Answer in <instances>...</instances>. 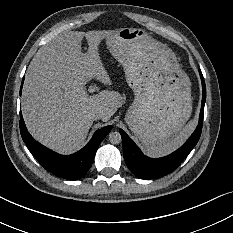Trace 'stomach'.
I'll return each mask as SVG.
<instances>
[{"label": "stomach", "mask_w": 233, "mask_h": 233, "mask_svg": "<svg viewBox=\"0 0 233 233\" xmlns=\"http://www.w3.org/2000/svg\"><path fill=\"white\" fill-rule=\"evenodd\" d=\"M134 92L125 122L146 147L172 141L191 116V81L175 53L144 29L119 28L105 38Z\"/></svg>", "instance_id": "1"}]
</instances>
